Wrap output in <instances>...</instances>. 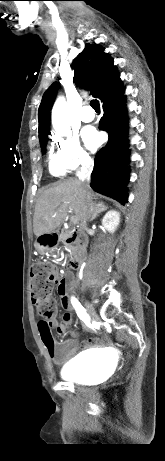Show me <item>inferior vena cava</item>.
<instances>
[{
  "label": "inferior vena cava",
  "mask_w": 165,
  "mask_h": 461,
  "mask_svg": "<svg viewBox=\"0 0 165 461\" xmlns=\"http://www.w3.org/2000/svg\"><path fill=\"white\" fill-rule=\"evenodd\" d=\"M93 169V161L89 156H85L82 162V168L77 173L79 180L82 182L84 188H89L90 176Z\"/></svg>",
  "instance_id": "1"
}]
</instances>
